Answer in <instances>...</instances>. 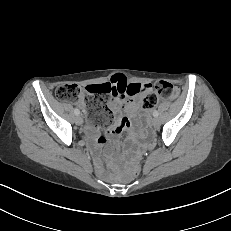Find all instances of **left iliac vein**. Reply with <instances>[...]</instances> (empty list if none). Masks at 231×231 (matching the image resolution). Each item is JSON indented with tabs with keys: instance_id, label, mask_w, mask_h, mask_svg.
I'll list each match as a JSON object with an SVG mask.
<instances>
[{
	"instance_id": "4c4485c4",
	"label": "left iliac vein",
	"mask_w": 231,
	"mask_h": 231,
	"mask_svg": "<svg viewBox=\"0 0 231 231\" xmlns=\"http://www.w3.org/2000/svg\"><path fill=\"white\" fill-rule=\"evenodd\" d=\"M152 125L155 128L159 127L160 126V120L157 117L153 118L152 119Z\"/></svg>"
}]
</instances>
